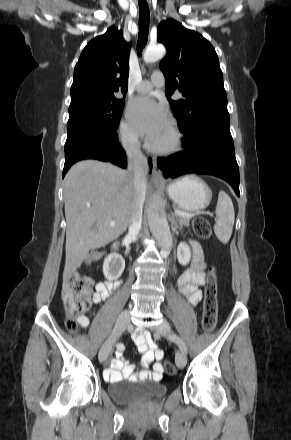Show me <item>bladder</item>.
Returning <instances> with one entry per match:
<instances>
[{
  "label": "bladder",
  "mask_w": 291,
  "mask_h": 440,
  "mask_svg": "<svg viewBox=\"0 0 291 440\" xmlns=\"http://www.w3.org/2000/svg\"><path fill=\"white\" fill-rule=\"evenodd\" d=\"M166 391L161 384L132 380H119L109 386L111 397L122 404L155 401L162 398Z\"/></svg>",
  "instance_id": "31cf9c89"
}]
</instances>
